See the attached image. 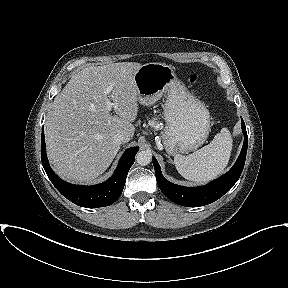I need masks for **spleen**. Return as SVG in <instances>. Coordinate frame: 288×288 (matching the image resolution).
Here are the masks:
<instances>
[{
  "label": "spleen",
  "instance_id": "spleen-1",
  "mask_svg": "<svg viewBox=\"0 0 288 288\" xmlns=\"http://www.w3.org/2000/svg\"><path fill=\"white\" fill-rule=\"evenodd\" d=\"M232 150V138L227 128H222L214 139L196 152L176 155L174 164L185 179L195 182L209 181L221 174L227 166Z\"/></svg>",
  "mask_w": 288,
  "mask_h": 288
}]
</instances>
